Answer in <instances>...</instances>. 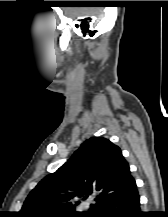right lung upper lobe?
Instances as JSON below:
<instances>
[{
  "mask_svg": "<svg viewBox=\"0 0 168 217\" xmlns=\"http://www.w3.org/2000/svg\"><path fill=\"white\" fill-rule=\"evenodd\" d=\"M127 161L118 146L92 137L56 172L47 175L26 198L19 217L80 215L94 217L110 201L135 190ZM96 196L88 212H76L80 198Z\"/></svg>",
  "mask_w": 168,
  "mask_h": 217,
  "instance_id": "obj_1",
  "label": "right lung upper lobe"
}]
</instances>
